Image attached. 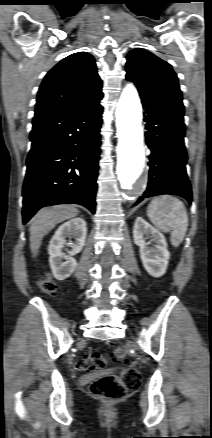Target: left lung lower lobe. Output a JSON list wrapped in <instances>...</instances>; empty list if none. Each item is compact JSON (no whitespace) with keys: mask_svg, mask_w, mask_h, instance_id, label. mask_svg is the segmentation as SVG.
<instances>
[{"mask_svg":"<svg viewBox=\"0 0 212 438\" xmlns=\"http://www.w3.org/2000/svg\"><path fill=\"white\" fill-rule=\"evenodd\" d=\"M145 110L146 144L150 149L149 182L144 198L174 194L192 202L191 185L186 173L184 110L141 97Z\"/></svg>","mask_w":212,"mask_h":438,"instance_id":"obj_1","label":"left lung lower lobe"}]
</instances>
